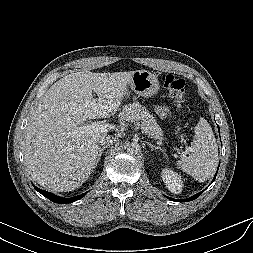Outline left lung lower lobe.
<instances>
[{
    "instance_id": "obj_1",
    "label": "left lung lower lobe",
    "mask_w": 253,
    "mask_h": 253,
    "mask_svg": "<svg viewBox=\"0 0 253 253\" xmlns=\"http://www.w3.org/2000/svg\"><path fill=\"white\" fill-rule=\"evenodd\" d=\"M218 129H219V127H218ZM215 177H216V175H215ZM215 177H214L213 181L215 180ZM203 192H204V190H203L202 192H199V193H197L196 195H194V196H192V197H190V198H188V199H184V200H175V199H172V198H169V199L172 200V201L187 202V201H191V200L196 199V198L199 197Z\"/></svg>"
}]
</instances>
